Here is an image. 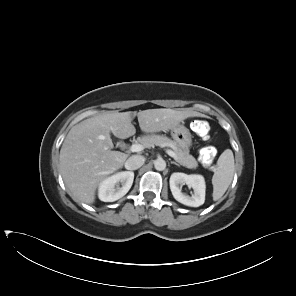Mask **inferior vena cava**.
Wrapping results in <instances>:
<instances>
[{
  "label": "inferior vena cava",
  "mask_w": 296,
  "mask_h": 296,
  "mask_svg": "<svg viewBox=\"0 0 296 296\" xmlns=\"http://www.w3.org/2000/svg\"><path fill=\"white\" fill-rule=\"evenodd\" d=\"M145 162V158L141 155H132L125 162V167L128 170H136L140 168Z\"/></svg>",
  "instance_id": "1"
}]
</instances>
